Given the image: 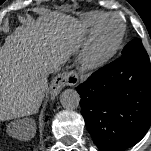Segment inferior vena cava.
Returning a JSON list of instances; mask_svg holds the SVG:
<instances>
[{
	"label": "inferior vena cava",
	"instance_id": "inferior-vena-cava-1",
	"mask_svg": "<svg viewBox=\"0 0 151 151\" xmlns=\"http://www.w3.org/2000/svg\"><path fill=\"white\" fill-rule=\"evenodd\" d=\"M59 69V64L58 63H54L53 65H51V67L49 68L50 72H54L57 71Z\"/></svg>",
	"mask_w": 151,
	"mask_h": 151
}]
</instances>
